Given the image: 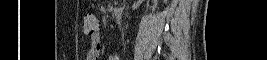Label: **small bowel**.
Listing matches in <instances>:
<instances>
[{
  "instance_id": "obj_1",
  "label": "small bowel",
  "mask_w": 267,
  "mask_h": 60,
  "mask_svg": "<svg viewBox=\"0 0 267 60\" xmlns=\"http://www.w3.org/2000/svg\"><path fill=\"white\" fill-rule=\"evenodd\" d=\"M101 52V37L99 32L90 36V47L88 49L86 59L87 60H98L99 54ZM122 56L118 52L111 53L107 60H121Z\"/></svg>"
}]
</instances>
